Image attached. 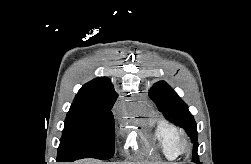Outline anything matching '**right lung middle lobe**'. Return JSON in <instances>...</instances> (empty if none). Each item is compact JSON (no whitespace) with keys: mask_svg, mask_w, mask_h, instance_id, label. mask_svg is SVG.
<instances>
[{"mask_svg":"<svg viewBox=\"0 0 251 164\" xmlns=\"http://www.w3.org/2000/svg\"><path fill=\"white\" fill-rule=\"evenodd\" d=\"M113 106L73 102L65 120L57 159L97 158L114 155Z\"/></svg>","mask_w":251,"mask_h":164,"instance_id":"dd1d6c3e","label":"right lung middle lobe"}]
</instances>
